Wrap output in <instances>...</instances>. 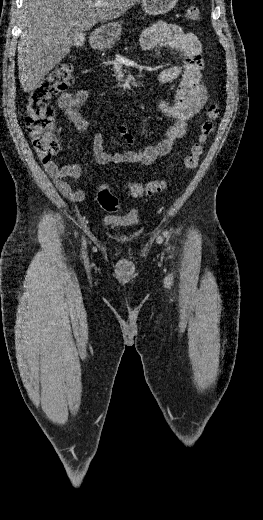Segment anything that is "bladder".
Returning <instances> with one entry per match:
<instances>
[{"mask_svg":"<svg viewBox=\"0 0 263 520\" xmlns=\"http://www.w3.org/2000/svg\"><path fill=\"white\" fill-rule=\"evenodd\" d=\"M102 224L105 228L112 230L133 228L139 224V216L137 213L107 216L102 220Z\"/></svg>","mask_w":263,"mask_h":520,"instance_id":"31cf9c89","label":"bladder"}]
</instances>
